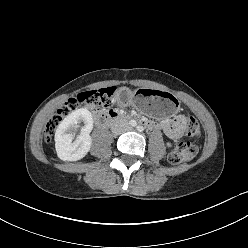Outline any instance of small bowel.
I'll list each match as a JSON object with an SVG mask.
<instances>
[{
  "mask_svg": "<svg viewBox=\"0 0 248 248\" xmlns=\"http://www.w3.org/2000/svg\"><path fill=\"white\" fill-rule=\"evenodd\" d=\"M187 119L184 115H178L173 120L164 123H149L151 127H160L171 139L179 138L186 127Z\"/></svg>",
  "mask_w": 248,
  "mask_h": 248,
  "instance_id": "small-bowel-1",
  "label": "small bowel"
}]
</instances>
